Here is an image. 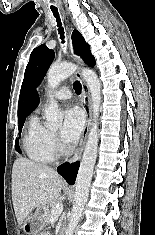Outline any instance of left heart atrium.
Listing matches in <instances>:
<instances>
[{
	"instance_id": "left-heart-atrium-1",
	"label": "left heart atrium",
	"mask_w": 155,
	"mask_h": 235,
	"mask_svg": "<svg viewBox=\"0 0 155 235\" xmlns=\"http://www.w3.org/2000/svg\"><path fill=\"white\" fill-rule=\"evenodd\" d=\"M85 118L78 108L67 109L64 113V121L61 130L62 140L66 144H74L84 128Z\"/></svg>"
}]
</instances>
